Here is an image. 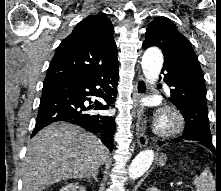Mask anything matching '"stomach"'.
Returning <instances> with one entry per match:
<instances>
[{
    "label": "stomach",
    "instance_id": "obj_1",
    "mask_svg": "<svg viewBox=\"0 0 221 191\" xmlns=\"http://www.w3.org/2000/svg\"><path fill=\"white\" fill-rule=\"evenodd\" d=\"M166 156L164 154L160 155V157L157 160L158 165L163 166L166 163Z\"/></svg>",
    "mask_w": 221,
    "mask_h": 191
}]
</instances>
